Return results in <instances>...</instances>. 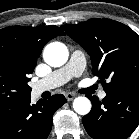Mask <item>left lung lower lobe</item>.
Segmentation results:
<instances>
[{
  "mask_svg": "<svg viewBox=\"0 0 139 139\" xmlns=\"http://www.w3.org/2000/svg\"><path fill=\"white\" fill-rule=\"evenodd\" d=\"M88 97L92 109L83 125L93 139H126L139 125V84L107 94L102 101Z\"/></svg>",
  "mask_w": 139,
  "mask_h": 139,
  "instance_id": "obj_1",
  "label": "left lung lower lobe"
}]
</instances>
